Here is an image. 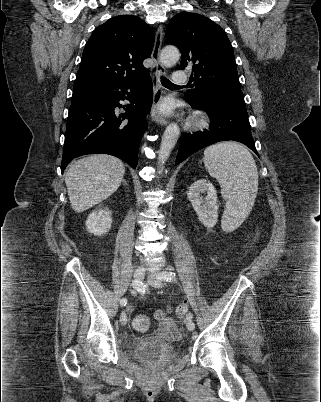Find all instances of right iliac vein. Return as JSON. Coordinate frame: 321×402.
I'll list each match as a JSON object with an SVG mask.
<instances>
[{
	"label": "right iliac vein",
	"mask_w": 321,
	"mask_h": 402,
	"mask_svg": "<svg viewBox=\"0 0 321 402\" xmlns=\"http://www.w3.org/2000/svg\"><path fill=\"white\" fill-rule=\"evenodd\" d=\"M144 273H145L144 268H141V267L137 268V269L134 271V274H133L134 282L140 283V282L143 280V278H144ZM120 321H121V323H122L123 325H126V323H127V316H126L125 312H123V313L121 314V316H120Z\"/></svg>",
	"instance_id": "obj_1"
}]
</instances>
